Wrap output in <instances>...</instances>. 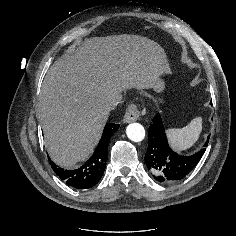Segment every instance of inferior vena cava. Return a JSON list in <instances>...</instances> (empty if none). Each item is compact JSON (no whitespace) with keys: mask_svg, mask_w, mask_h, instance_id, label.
<instances>
[{"mask_svg":"<svg viewBox=\"0 0 236 236\" xmlns=\"http://www.w3.org/2000/svg\"><path fill=\"white\" fill-rule=\"evenodd\" d=\"M121 101H122V96H120V97L117 98L115 101H113L112 107L117 106L119 103H121Z\"/></svg>","mask_w":236,"mask_h":236,"instance_id":"obj_1","label":"inferior vena cava"}]
</instances>
